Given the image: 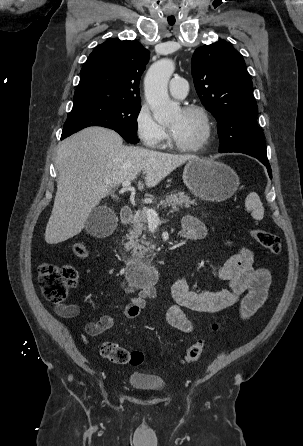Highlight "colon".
<instances>
[{
  "mask_svg": "<svg viewBox=\"0 0 303 446\" xmlns=\"http://www.w3.org/2000/svg\"><path fill=\"white\" fill-rule=\"evenodd\" d=\"M250 236L262 247L273 254L281 251V241L278 236L263 229L252 228ZM72 251L79 258H87L89 250L82 242L73 245ZM40 287L45 298L54 303L62 304L69 293V290L77 284L78 275L74 268L70 266H58L52 263H42L38 270ZM220 324L214 323L212 331H217ZM205 350L203 339L196 340L184 353L183 362L191 363L197 361ZM100 354L103 358L115 364L140 365L145 360L142 351H129L113 342H103L100 345Z\"/></svg>",
  "mask_w": 303,
  "mask_h": 446,
  "instance_id": "1",
  "label": "colon"
}]
</instances>
